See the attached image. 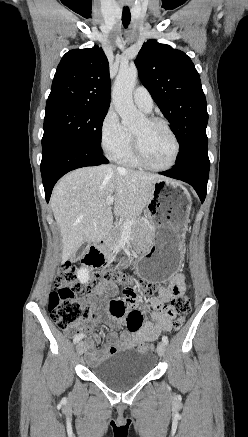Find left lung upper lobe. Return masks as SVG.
I'll use <instances>...</instances> for the list:
<instances>
[{
    "label": "left lung upper lobe",
    "mask_w": 248,
    "mask_h": 437,
    "mask_svg": "<svg viewBox=\"0 0 248 437\" xmlns=\"http://www.w3.org/2000/svg\"><path fill=\"white\" fill-rule=\"evenodd\" d=\"M135 65L139 78L172 125L183 160L207 140V104L194 64L184 52L156 40L143 44Z\"/></svg>",
    "instance_id": "obj_1"
}]
</instances>
